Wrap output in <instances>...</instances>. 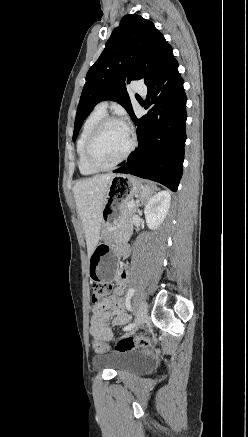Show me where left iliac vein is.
<instances>
[{
    "mask_svg": "<svg viewBox=\"0 0 248 437\" xmlns=\"http://www.w3.org/2000/svg\"><path fill=\"white\" fill-rule=\"evenodd\" d=\"M147 310H148L147 302L145 300H142L137 308L136 325L126 335L134 333L146 321Z\"/></svg>",
    "mask_w": 248,
    "mask_h": 437,
    "instance_id": "1",
    "label": "left iliac vein"
}]
</instances>
